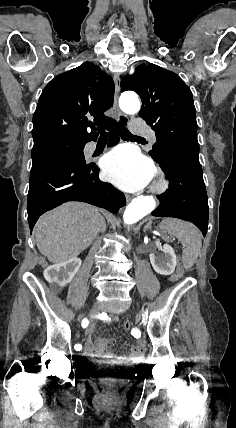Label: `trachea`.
Returning <instances> with one entry per match:
<instances>
[{
	"label": "trachea",
	"instance_id": "obj_1",
	"mask_svg": "<svg viewBox=\"0 0 236 428\" xmlns=\"http://www.w3.org/2000/svg\"><path fill=\"white\" fill-rule=\"evenodd\" d=\"M92 130H95V127H92ZM101 136L100 139L103 140H107L108 139V133H105L104 131H101ZM119 134L121 136V138L126 139V140H131V139H135V138H142V137H137L136 135H132L127 128H125V126L119 124Z\"/></svg>",
	"mask_w": 236,
	"mask_h": 428
}]
</instances>
